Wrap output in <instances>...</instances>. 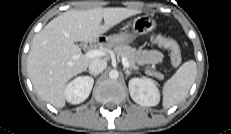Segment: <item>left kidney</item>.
<instances>
[{
    "label": "left kidney",
    "instance_id": "left-kidney-1",
    "mask_svg": "<svg viewBox=\"0 0 231 134\" xmlns=\"http://www.w3.org/2000/svg\"><path fill=\"white\" fill-rule=\"evenodd\" d=\"M131 98L142 106H156L160 101L159 90L151 79L132 78L129 81Z\"/></svg>",
    "mask_w": 231,
    "mask_h": 134
}]
</instances>
